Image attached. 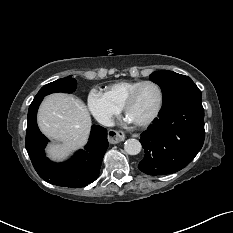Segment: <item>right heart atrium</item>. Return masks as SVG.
Here are the masks:
<instances>
[{
	"instance_id": "1",
	"label": "right heart atrium",
	"mask_w": 233,
	"mask_h": 233,
	"mask_svg": "<svg viewBox=\"0 0 233 233\" xmlns=\"http://www.w3.org/2000/svg\"><path fill=\"white\" fill-rule=\"evenodd\" d=\"M87 104L92 115L103 125H108L118 115L121 107L114 103L105 92L92 89L87 97Z\"/></svg>"
}]
</instances>
